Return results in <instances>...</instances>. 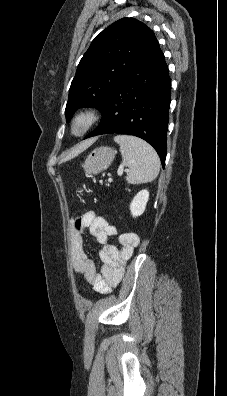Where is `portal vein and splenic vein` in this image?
<instances>
[{
	"mask_svg": "<svg viewBox=\"0 0 227 396\" xmlns=\"http://www.w3.org/2000/svg\"><path fill=\"white\" fill-rule=\"evenodd\" d=\"M123 171H124V169H123V167L121 166V167L118 169V175H119V176H122ZM108 181H109V182H112V178H109Z\"/></svg>",
	"mask_w": 227,
	"mask_h": 396,
	"instance_id": "1",
	"label": "portal vein and splenic vein"
}]
</instances>
